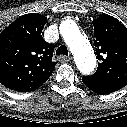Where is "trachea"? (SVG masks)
I'll return each mask as SVG.
<instances>
[{
	"instance_id": "trachea-1",
	"label": "trachea",
	"mask_w": 127,
	"mask_h": 127,
	"mask_svg": "<svg viewBox=\"0 0 127 127\" xmlns=\"http://www.w3.org/2000/svg\"><path fill=\"white\" fill-rule=\"evenodd\" d=\"M56 55L68 56V49L66 46L62 45L56 50Z\"/></svg>"
}]
</instances>
